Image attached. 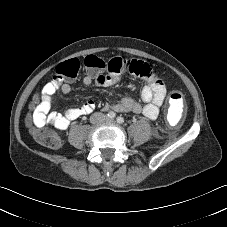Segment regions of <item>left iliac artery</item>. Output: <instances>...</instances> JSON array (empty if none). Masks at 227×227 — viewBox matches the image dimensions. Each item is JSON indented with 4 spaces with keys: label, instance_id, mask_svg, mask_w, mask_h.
Listing matches in <instances>:
<instances>
[{
    "label": "left iliac artery",
    "instance_id": "44dca946",
    "mask_svg": "<svg viewBox=\"0 0 227 227\" xmlns=\"http://www.w3.org/2000/svg\"><path fill=\"white\" fill-rule=\"evenodd\" d=\"M117 123H119V124H122V123H124V118L123 117H121V116H119V117H117Z\"/></svg>",
    "mask_w": 227,
    "mask_h": 227
}]
</instances>
